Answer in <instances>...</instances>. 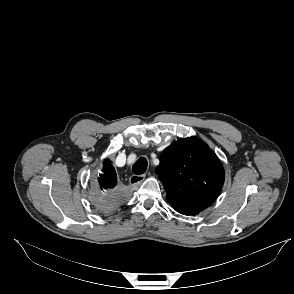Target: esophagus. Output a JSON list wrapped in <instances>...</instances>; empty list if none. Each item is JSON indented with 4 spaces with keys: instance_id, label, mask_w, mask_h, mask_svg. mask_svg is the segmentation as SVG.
<instances>
[{
    "instance_id": "1",
    "label": "esophagus",
    "mask_w": 294,
    "mask_h": 294,
    "mask_svg": "<svg viewBox=\"0 0 294 294\" xmlns=\"http://www.w3.org/2000/svg\"><path fill=\"white\" fill-rule=\"evenodd\" d=\"M145 174H141V175H132L129 179V183L131 186L137 187L140 186L142 184V182L145 179Z\"/></svg>"
}]
</instances>
